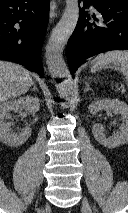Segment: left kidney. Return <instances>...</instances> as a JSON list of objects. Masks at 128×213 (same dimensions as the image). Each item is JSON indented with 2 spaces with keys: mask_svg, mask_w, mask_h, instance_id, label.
<instances>
[{
  "mask_svg": "<svg viewBox=\"0 0 128 213\" xmlns=\"http://www.w3.org/2000/svg\"><path fill=\"white\" fill-rule=\"evenodd\" d=\"M88 109L93 115L101 110H110L114 114H120L124 120L120 131L114 133L112 136H106L104 134L101 124H95L92 127V133L101 145L113 149L128 143V105L126 103L117 99L95 100Z\"/></svg>",
  "mask_w": 128,
  "mask_h": 213,
  "instance_id": "5707ae66",
  "label": "left kidney"
}]
</instances>
